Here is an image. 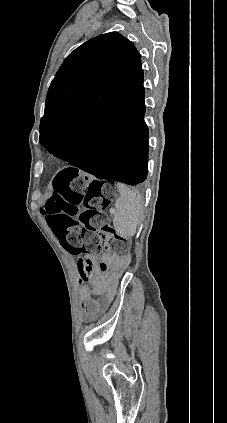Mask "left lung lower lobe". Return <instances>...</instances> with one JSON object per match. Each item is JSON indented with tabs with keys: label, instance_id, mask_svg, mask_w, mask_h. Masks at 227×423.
Instances as JSON below:
<instances>
[{
	"label": "left lung lower lobe",
	"instance_id": "0a47b994",
	"mask_svg": "<svg viewBox=\"0 0 227 423\" xmlns=\"http://www.w3.org/2000/svg\"><path fill=\"white\" fill-rule=\"evenodd\" d=\"M144 113H107L82 135L53 141L46 149L99 179L137 185L147 176ZM63 173L77 175L78 169L68 168Z\"/></svg>",
	"mask_w": 227,
	"mask_h": 423
}]
</instances>
